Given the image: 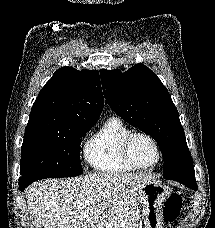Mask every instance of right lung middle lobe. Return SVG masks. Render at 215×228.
<instances>
[{"label":"right lung middle lobe","instance_id":"obj_1","mask_svg":"<svg viewBox=\"0 0 215 228\" xmlns=\"http://www.w3.org/2000/svg\"><path fill=\"white\" fill-rule=\"evenodd\" d=\"M94 124L74 123L25 132L19 183L29 185L40 179L73 177L83 173L81 138Z\"/></svg>","mask_w":215,"mask_h":228}]
</instances>
